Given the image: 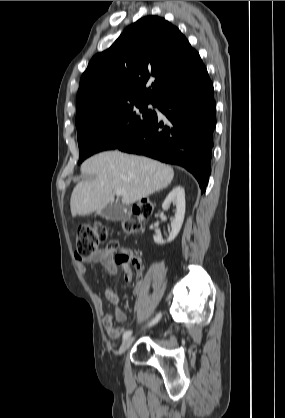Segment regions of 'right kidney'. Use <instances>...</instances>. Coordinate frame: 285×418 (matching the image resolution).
I'll use <instances>...</instances> for the list:
<instances>
[{"instance_id": "1", "label": "right kidney", "mask_w": 285, "mask_h": 418, "mask_svg": "<svg viewBox=\"0 0 285 418\" xmlns=\"http://www.w3.org/2000/svg\"><path fill=\"white\" fill-rule=\"evenodd\" d=\"M171 203H173V205L176 206V211H175V217L174 219L171 221V227L172 230L170 232V235L167 239V242H171L173 241L181 227L184 221V215H185V191L183 187H174L172 189V191L168 194V196L166 197V199L164 200L163 204H162V208H167ZM154 242L157 244H164L165 241L157 236H154Z\"/></svg>"}]
</instances>
